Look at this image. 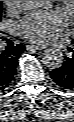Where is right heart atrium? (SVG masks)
I'll list each match as a JSON object with an SVG mask.
<instances>
[{
  "instance_id": "d8ad5b80",
  "label": "right heart atrium",
  "mask_w": 74,
  "mask_h": 122,
  "mask_svg": "<svg viewBox=\"0 0 74 122\" xmlns=\"http://www.w3.org/2000/svg\"><path fill=\"white\" fill-rule=\"evenodd\" d=\"M19 1H4V4L8 11H12L18 6Z\"/></svg>"
}]
</instances>
